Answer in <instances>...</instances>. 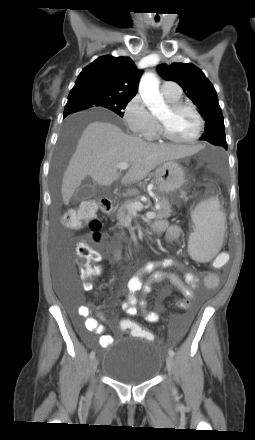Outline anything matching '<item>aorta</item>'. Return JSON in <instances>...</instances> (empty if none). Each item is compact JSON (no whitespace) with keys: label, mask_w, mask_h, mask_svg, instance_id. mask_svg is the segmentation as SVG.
I'll list each match as a JSON object with an SVG mask.
<instances>
[{"label":"aorta","mask_w":255,"mask_h":440,"mask_svg":"<svg viewBox=\"0 0 255 440\" xmlns=\"http://www.w3.org/2000/svg\"><path fill=\"white\" fill-rule=\"evenodd\" d=\"M139 93L153 115L157 116L167 110V105L159 92V80L154 73L143 74L139 83Z\"/></svg>","instance_id":"1"}]
</instances>
